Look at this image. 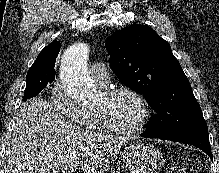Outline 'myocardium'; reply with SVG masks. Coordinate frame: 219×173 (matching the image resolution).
Wrapping results in <instances>:
<instances>
[{"mask_svg": "<svg viewBox=\"0 0 219 173\" xmlns=\"http://www.w3.org/2000/svg\"><path fill=\"white\" fill-rule=\"evenodd\" d=\"M121 93H127V94L132 95L134 98L137 99V101L139 102L141 106V110H142L141 117H140L138 124L135 127L128 129V130L121 129V128L114 126L111 123V121L108 119L107 115L105 114L103 110L96 109V114L98 116V119L102 127L106 131L113 133L115 135H118V136L132 137V136L139 134L140 132L144 130L145 126L147 125L149 121V118L151 115V109H150V105L148 101L143 96V94H141L138 90L132 87L125 86V85L113 86V87H109L105 89L104 91V95L108 99L113 98L114 96L121 94Z\"/></svg>", "mask_w": 219, "mask_h": 173, "instance_id": "obj_1", "label": "myocardium"}]
</instances>
